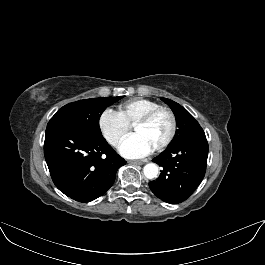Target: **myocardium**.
<instances>
[{"mask_svg":"<svg viewBox=\"0 0 265 265\" xmlns=\"http://www.w3.org/2000/svg\"><path fill=\"white\" fill-rule=\"evenodd\" d=\"M160 113H166L169 116V118H170V130H169L167 137L164 139V141L159 146H157L156 148L153 149V152H155V153H158V152L165 150L171 144V142L173 141V139L176 135L177 118H176V115L174 114V112L168 107L159 106L155 109H152V110L146 112L144 115H142L140 118H138L133 124V127L136 125L146 124L149 121H151L156 115H158Z\"/></svg>","mask_w":265,"mask_h":265,"instance_id":"myocardium-1","label":"myocardium"}]
</instances>
